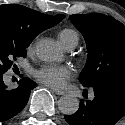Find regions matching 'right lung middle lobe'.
Instances as JSON below:
<instances>
[{
  "instance_id": "obj_1",
  "label": "right lung middle lobe",
  "mask_w": 125,
  "mask_h": 125,
  "mask_svg": "<svg viewBox=\"0 0 125 125\" xmlns=\"http://www.w3.org/2000/svg\"><path fill=\"white\" fill-rule=\"evenodd\" d=\"M28 45L15 44L11 41L0 39V74H4L9 69L14 60L25 57Z\"/></svg>"
}]
</instances>
